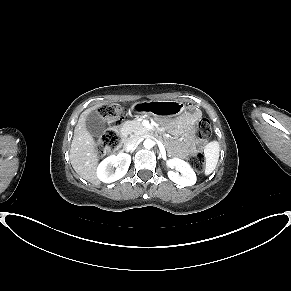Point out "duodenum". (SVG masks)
Here are the masks:
<instances>
[{
    "label": "duodenum",
    "mask_w": 291,
    "mask_h": 291,
    "mask_svg": "<svg viewBox=\"0 0 291 291\" xmlns=\"http://www.w3.org/2000/svg\"><path fill=\"white\" fill-rule=\"evenodd\" d=\"M126 144H127V140H126L125 138H122V139L119 141V143L117 144V146L114 147V148L112 149V152H113L114 154H119V153H121V152L124 150Z\"/></svg>",
    "instance_id": "410a0bca"
}]
</instances>
